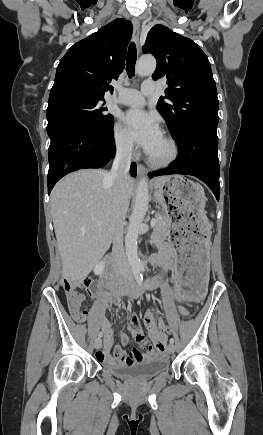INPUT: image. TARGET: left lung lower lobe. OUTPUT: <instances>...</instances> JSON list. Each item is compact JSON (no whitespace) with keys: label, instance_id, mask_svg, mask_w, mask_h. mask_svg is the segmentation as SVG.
<instances>
[{"label":"left lung lower lobe","instance_id":"obj_1","mask_svg":"<svg viewBox=\"0 0 263 435\" xmlns=\"http://www.w3.org/2000/svg\"><path fill=\"white\" fill-rule=\"evenodd\" d=\"M215 125H197L184 129L175 139L179 143V158L169 169L149 173L161 175L187 174L202 180L219 200L218 137Z\"/></svg>","mask_w":263,"mask_h":435}]
</instances>
